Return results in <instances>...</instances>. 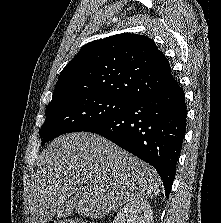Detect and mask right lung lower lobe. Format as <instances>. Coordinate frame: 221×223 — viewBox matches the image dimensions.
I'll list each match as a JSON object with an SVG mask.
<instances>
[{"mask_svg":"<svg viewBox=\"0 0 221 223\" xmlns=\"http://www.w3.org/2000/svg\"><path fill=\"white\" fill-rule=\"evenodd\" d=\"M187 106L180 86L135 100L126 110L87 129L152 165L168 198L186 131Z\"/></svg>","mask_w":221,"mask_h":223,"instance_id":"98d812e1","label":"right lung lower lobe"}]
</instances>
